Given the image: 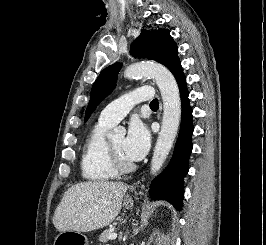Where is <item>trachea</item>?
I'll use <instances>...</instances> for the list:
<instances>
[{
  "instance_id": "obj_1",
  "label": "trachea",
  "mask_w": 266,
  "mask_h": 245,
  "mask_svg": "<svg viewBox=\"0 0 266 245\" xmlns=\"http://www.w3.org/2000/svg\"><path fill=\"white\" fill-rule=\"evenodd\" d=\"M150 105H159L158 99L155 98L154 100H152V102L150 103Z\"/></svg>"
}]
</instances>
